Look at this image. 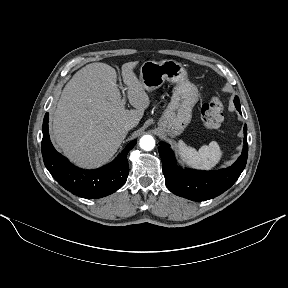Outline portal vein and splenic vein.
Here are the masks:
<instances>
[{"label":"portal vein and splenic vein","instance_id":"18ae733b","mask_svg":"<svg viewBox=\"0 0 288 288\" xmlns=\"http://www.w3.org/2000/svg\"><path fill=\"white\" fill-rule=\"evenodd\" d=\"M126 103V98L124 96V98L122 99V104H125Z\"/></svg>","mask_w":288,"mask_h":288}]
</instances>
